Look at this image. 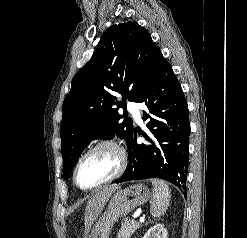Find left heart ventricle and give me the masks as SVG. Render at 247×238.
Returning <instances> with one entry per match:
<instances>
[{
  "label": "left heart ventricle",
  "mask_w": 247,
  "mask_h": 238,
  "mask_svg": "<svg viewBox=\"0 0 247 238\" xmlns=\"http://www.w3.org/2000/svg\"><path fill=\"white\" fill-rule=\"evenodd\" d=\"M119 165L116 152L108 147L89 154L80 164L77 180L83 187L96 185L112 176Z\"/></svg>",
  "instance_id": "obj_1"
}]
</instances>
